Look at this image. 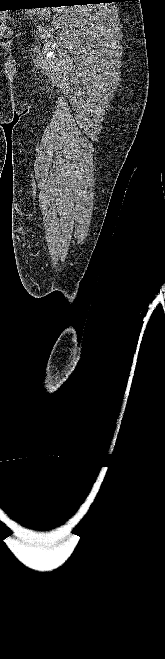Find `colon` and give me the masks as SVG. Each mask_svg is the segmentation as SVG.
<instances>
[{"instance_id": "colon-1", "label": "colon", "mask_w": 165, "mask_h": 659, "mask_svg": "<svg viewBox=\"0 0 165 659\" xmlns=\"http://www.w3.org/2000/svg\"><path fill=\"white\" fill-rule=\"evenodd\" d=\"M11 34V29L2 21L0 17V37H8Z\"/></svg>"}]
</instances>
